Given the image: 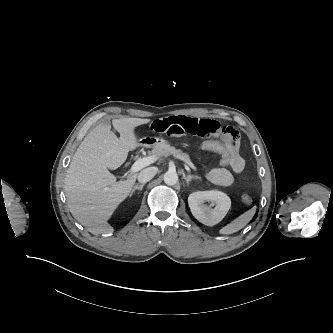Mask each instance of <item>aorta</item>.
Wrapping results in <instances>:
<instances>
[{"label": "aorta", "instance_id": "obj_1", "mask_svg": "<svg viewBox=\"0 0 333 333\" xmlns=\"http://www.w3.org/2000/svg\"><path fill=\"white\" fill-rule=\"evenodd\" d=\"M164 182L167 184V185H175L178 181V175L176 172L174 171H167L165 174H164Z\"/></svg>", "mask_w": 333, "mask_h": 333}]
</instances>
